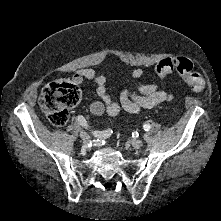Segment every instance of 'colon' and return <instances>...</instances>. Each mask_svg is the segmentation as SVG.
<instances>
[{
  "instance_id": "1",
  "label": "colon",
  "mask_w": 221,
  "mask_h": 221,
  "mask_svg": "<svg viewBox=\"0 0 221 221\" xmlns=\"http://www.w3.org/2000/svg\"><path fill=\"white\" fill-rule=\"evenodd\" d=\"M159 78H165L177 72L194 90L201 91L205 86L204 78L194 70L193 63L183 57L166 58L155 67ZM82 98L80 88L68 80H57L44 87L39 103L45 117L55 126L67 123L70 109L76 106Z\"/></svg>"
}]
</instances>
